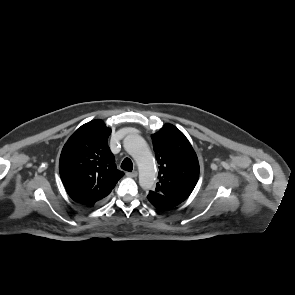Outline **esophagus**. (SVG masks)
Segmentation results:
<instances>
[{"label": "esophagus", "instance_id": "1", "mask_svg": "<svg viewBox=\"0 0 295 295\" xmlns=\"http://www.w3.org/2000/svg\"><path fill=\"white\" fill-rule=\"evenodd\" d=\"M126 176L131 177V178L137 177V172L136 171L127 172Z\"/></svg>", "mask_w": 295, "mask_h": 295}]
</instances>
